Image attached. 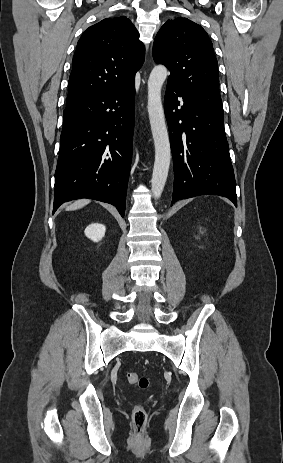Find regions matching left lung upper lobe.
Listing matches in <instances>:
<instances>
[{"label": "left lung upper lobe", "mask_w": 283, "mask_h": 463, "mask_svg": "<svg viewBox=\"0 0 283 463\" xmlns=\"http://www.w3.org/2000/svg\"><path fill=\"white\" fill-rule=\"evenodd\" d=\"M153 59L171 72V82L202 106L223 115L218 63L206 31L187 18L168 20L153 45Z\"/></svg>", "instance_id": "5c2ea615"}]
</instances>
